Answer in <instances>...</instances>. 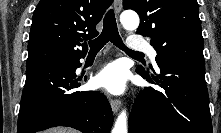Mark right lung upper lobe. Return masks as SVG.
Wrapping results in <instances>:
<instances>
[{
    "label": "right lung upper lobe",
    "mask_w": 221,
    "mask_h": 133,
    "mask_svg": "<svg viewBox=\"0 0 221 133\" xmlns=\"http://www.w3.org/2000/svg\"><path fill=\"white\" fill-rule=\"evenodd\" d=\"M112 1L40 0L32 18L26 66L83 58L84 41L98 35L96 25Z\"/></svg>",
    "instance_id": "right-lung-upper-lobe-1"
}]
</instances>
